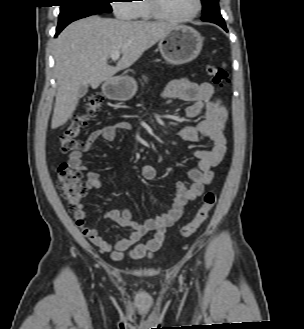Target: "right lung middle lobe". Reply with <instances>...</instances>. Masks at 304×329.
<instances>
[{
  "label": "right lung middle lobe",
  "mask_w": 304,
  "mask_h": 329,
  "mask_svg": "<svg viewBox=\"0 0 304 329\" xmlns=\"http://www.w3.org/2000/svg\"><path fill=\"white\" fill-rule=\"evenodd\" d=\"M110 0H60L61 8L57 28L69 23L99 13H110Z\"/></svg>",
  "instance_id": "dd1d6c3e"
}]
</instances>
